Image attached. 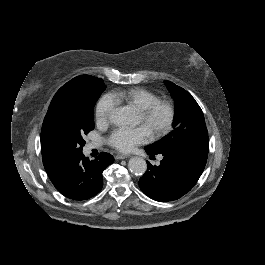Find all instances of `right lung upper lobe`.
Here are the masks:
<instances>
[{
  "mask_svg": "<svg viewBox=\"0 0 265 265\" xmlns=\"http://www.w3.org/2000/svg\"><path fill=\"white\" fill-rule=\"evenodd\" d=\"M88 76H89V75H81V76H77V77L73 78L72 80H70L69 82H67L64 86H62V87L57 91V93L54 95V97H53V99H52V101H51V103H50V106H49L48 110H50V109L55 105V103H56V101H57V99H58V97H59L61 91H62V90H63V89L69 84V83H71L72 81L77 80V79H79V78L88 77ZM42 160H43V165H44L45 169L48 168V167H50V166L53 165V164H56L55 162H52V161L48 160L47 158H45V157H43V156H42Z\"/></svg>",
  "mask_w": 265,
  "mask_h": 265,
  "instance_id": "1",
  "label": "right lung upper lobe"
}]
</instances>
